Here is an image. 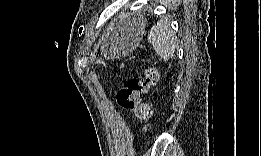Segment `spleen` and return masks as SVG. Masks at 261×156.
Returning <instances> with one entry per match:
<instances>
[{"instance_id": "1", "label": "spleen", "mask_w": 261, "mask_h": 156, "mask_svg": "<svg viewBox=\"0 0 261 156\" xmlns=\"http://www.w3.org/2000/svg\"><path fill=\"white\" fill-rule=\"evenodd\" d=\"M148 41L152 44L155 52L165 60L173 58L175 53L174 33L170 29L169 24L163 19L152 27Z\"/></svg>"}]
</instances>
